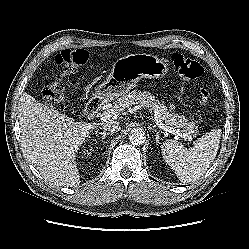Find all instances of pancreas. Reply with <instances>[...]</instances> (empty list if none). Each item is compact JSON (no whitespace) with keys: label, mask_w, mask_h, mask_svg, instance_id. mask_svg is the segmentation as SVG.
Instances as JSON below:
<instances>
[{"label":"pancreas","mask_w":249,"mask_h":249,"mask_svg":"<svg viewBox=\"0 0 249 249\" xmlns=\"http://www.w3.org/2000/svg\"><path fill=\"white\" fill-rule=\"evenodd\" d=\"M135 104H139L149 111L156 113L158 119L164 121L167 125L183 128L184 133L187 135L197 131V126L194 122H188L183 115L172 113L171 109H168L165 104L155 99L150 92L133 90L129 94L118 99L115 107L119 110H124Z\"/></svg>","instance_id":"1"}]
</instances>
